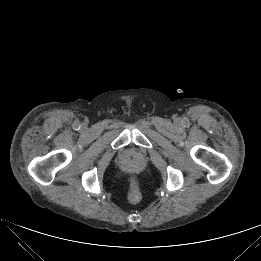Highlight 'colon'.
Segmentation results:
<instances>
[{"mask_svg":"<svg viewBox=\"0 0 261 261\" xmlns=\"http://www.w3.org/2000/svg\"><path fill=\"white\" fill-rule=\"evenodd\" d=\"M140 199H141V191H140L136 178L133 176L130 178L128 200L131 203H137L140 201Z\"/></svg>","mask_w":261,"mask_h":261,"instance_id":"5ec220e1","label":"colon"}]
</instances>
